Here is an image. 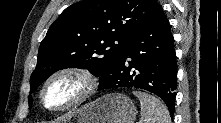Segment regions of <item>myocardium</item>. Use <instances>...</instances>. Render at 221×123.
Returning a JSON list of instances; mask_svg holds the SVG:
<instances>
[{"instance_id": "obj_1", "label": "myocardium", "mask_w": 221, "mask_h": 123, "mask_svg": "<svg viewBox=\"0 0 221 123\" xmlns=\"http://www.w3.org/2000/svg\"><path fill=\"white\" fill-rule=\"evenodd\" d=\"M71 76L75 77L80 83V90L78 94L69 102L64 105L58 107H51L45 103L44 93L47 87L57 78ZM98 87L97 78L87 69L81 67H63L56 71H54L51 75H49L46 80L43 82L41 89L39 91V99L42 106L51 112H63L83 104L87 99H89L93 93L96 91Z\"/></svg>"}]
</instances>
